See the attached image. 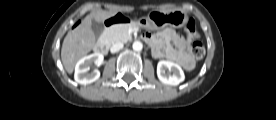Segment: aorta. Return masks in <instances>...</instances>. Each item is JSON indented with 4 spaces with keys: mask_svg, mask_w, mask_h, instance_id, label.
I'll return each mask as SVG.
<instances>
[{
    "mask_svg": "<svg viewBox=\"0 0 276 120\" xmlns=\"http://www.w3.org/2000/svg\"><path fill=\"white\" fill-rule=\"evenodd\" d=\"M134 51H141L143 44L140 41H135L132 45Z\"/></svg>",
    "mask_w": 276,
    "mask_h": 120,
    "instance_id": "obj_1",
    "label": "aorta"
}]
</instances>
